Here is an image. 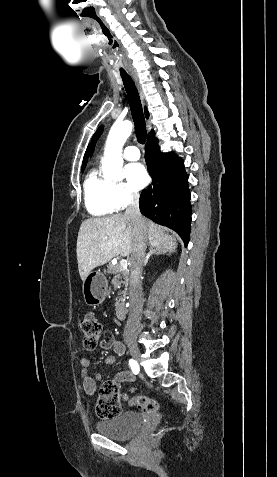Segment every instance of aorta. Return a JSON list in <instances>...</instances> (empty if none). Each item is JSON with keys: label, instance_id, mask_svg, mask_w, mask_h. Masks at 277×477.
Here are the masks:
<instances>
[{"label": "aorta", "instance_id": "obj_1", "mask_svg": "<svg viewBox=\"0 0 277 477\" xmlns=\"http://www.w3.org/2000/svg\"><path fill=\"white\" fill-rule=\"evenodd\" d=\"M132 132L130 121L115 122L110 129L104 149L102 171L108 180H120L123 166L122 148Z\"/></svg>", "mask_w": 277, "mask_h": 477}]
</instances>
